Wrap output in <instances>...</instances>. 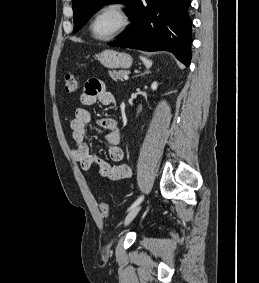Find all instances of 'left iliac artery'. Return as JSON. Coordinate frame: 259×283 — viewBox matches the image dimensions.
Instances as JSON below:
<instances>
[{
	"mask_svg": "<svg viewBox=\"0 0 259 283\" xmlns=\"http://www.w3.org/2000/svg\"><path fill=\"white\" fill-rule=\"evenodd\" d=\"M143 199H144V196H143V195L140 196V197L131 205V207L128 209V211L131 210L132 208H134L135 206H137L138 204H140Z\"/></svg>",
	"mask_w": 259,
	"mask_h": 283,
	"instance_id": "44dca946",
	"label": "left iliac artery"
}]
</instances>
